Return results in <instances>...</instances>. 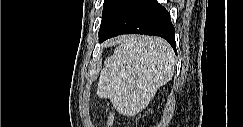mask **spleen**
<instances>
[{
	"label": "spleen",
	"mask_w": 243,
	"mask_h": 127,
	"mask_svg": "<svg viewBox=\"0 0 243 127\" xmlns=\"http://www.w3.org/2000/svg\"><path fill=\"white\" fill-rule=\"evenodd\" d=\"M175 69L170 45L157 37H132L116 48L101 70L97 95L121 114L140 111Z\"/></svg>",
	"instance_id": "3e777b00"
}]
</instances>
